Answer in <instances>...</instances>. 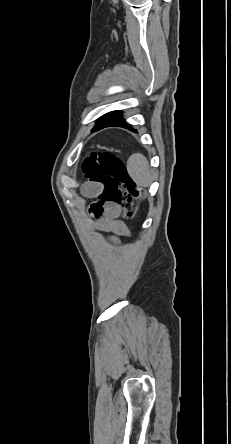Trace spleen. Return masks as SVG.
<instances>
[{
	"label": "spleen",
	"instance_id": "spleen-1",
	"mask_svg": "<svg viewBox=\"0 0 231 444\" xmlns=\"http://www.w3.org/2000/svg\"><path fill=\"white\" fill-rule=\"evenodd\" d=\"M127 171L137 185L148 187L152 183L153 174L145 156L133 154L127 161Z\"/></svg>",
	"mask_w": 231,
	"mask_h": 444
}]
</instances>
